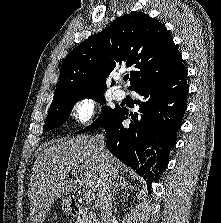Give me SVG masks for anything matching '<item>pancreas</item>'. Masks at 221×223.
Instances as JSON below:
<instances>
[{"mask_svg":"<svg viewBox=\"0 0 221 223\" xmlns=\"http://www.w3.org/2000/svg\"><path fill=\"white\" fill-rule=\"evenodd\" d=\"M76 223H97L96 215L89 210V207H86L81 217L77 218Z\"/></svg>","mask_w":221,"mask_h":223,"instance_id":"cf45deb5","label":"pancreas"}]
</instances>
